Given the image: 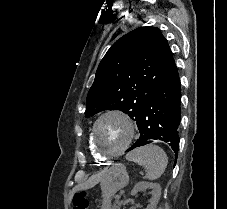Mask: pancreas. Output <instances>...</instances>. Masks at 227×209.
Returning a JSON list of instances; mask_svg holds the SVG:
<instances>
[{
    "label": "pancreas",
    "instance_id": "obj_1",
    "mask_svg": "<svg viewBox=\"0 0 227 209\" xmlns=\"http://www.w3.org/2000/svg\"><path fill=\"white\" fill-rule=\"evenodd\" d=\"M115 203H113L112 205H111V209H119V207H121L122 205L121 204H119V200H117V197H115Z\"/></svg>",
    "mask_w": 227,
    "mask_h": 209
}]
</instances>
